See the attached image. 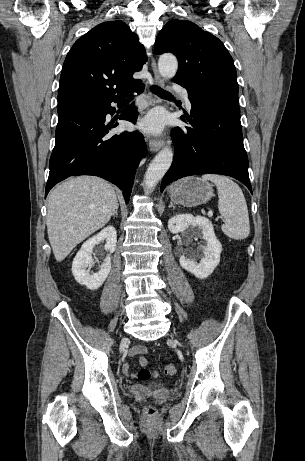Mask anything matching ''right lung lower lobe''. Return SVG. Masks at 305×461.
<instances>
[{"mask_svg": "<svg viewBox=\"0 0 305 461\" xmlns=\"http://www.w3.org/2000/svg\"><path fill=\"white\" fill-rule=\"evenodd\" d=\"M140 84L133 90L142 92ZM128 94V93H127ZM127 94L109 100L88 101L79 105L58 108L55 147L49 163V177L45 196L58 182L77 175H95L116 184L129 202L135 170L147 149L142 134L123 132L112 135L118 125H105V116L115 111ZM138 113L130 105L120 119L135 123Z\"/></svg>", "mask_w": 305, "mask_h": 461, "instance_id": "obj_1", "label": "right lung lower lobe"}]
</instances>
